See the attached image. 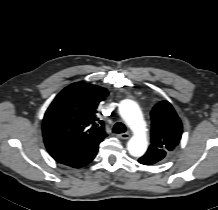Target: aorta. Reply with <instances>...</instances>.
Instances as JSON below:
<instances>
[{"label": "aorta", "mask_w": 218, "mask_h": 210, "mask_svg": "<svg viewBox=\"0 0 218 210\" xmlns=\"http://www.w3.org/2000/svg\"><path fill=\"white\" fill-rule=\"evenodd\" d=\"M119 114L133 132V136L127 143L128 152L134 157L142 156L147 150L148 141L139 106L132 100H123L119 105Z\"/></svg>", "instance_id": "obj_1"}]
</instances>
